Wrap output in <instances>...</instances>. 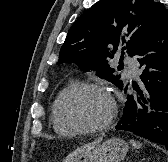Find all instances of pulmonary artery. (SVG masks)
<instances>
[{
    "instance_id": "obj_1",
    "label": "pulmonary artery",
    "mask_w": 168,
    "mask_h": 162,
    "mask_svg": "<svg viewBox=\"0 0 168 162\" xmlns=\"http://www.w3.org/2000/svg\"><path fill=\"white\" fill-rule=\"evenodd\" d=\"M127 65L131 71V74L134 77H137L139 74V63L136 59H127Z\"/></svg>"
}]
</instances>
